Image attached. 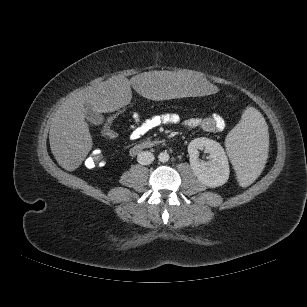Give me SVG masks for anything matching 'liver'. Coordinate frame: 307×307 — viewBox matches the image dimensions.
<instances>
[{"label": "liver", "instance_id": "liver-1", "mask_svg": "<svg viewBox=\"0 0 307 307\" xmlns=\"http://www.w3.org/2000/svg\"><path fill=\"white\" fill-rule=\"evenodd\" d=\"M131 85L143 97L164 100L214 95L215 87L204 76L190 71H152L127 78L109 79L72 94L51 119L49 142L58 164L67 171L77 169L92 148L85 121L86 106L98 113L118 110L132 97Z\"/></svg>", "mask_w": 307, "mask_h": 307}]
</instances>
